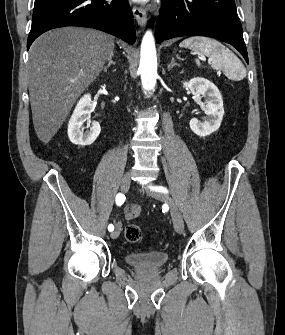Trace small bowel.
Masks as SVG:
<instances>
[{
  "instance_id": "c3829d8e",
  "label": "small bowel",
  "mask_w": 285,
  "mask_h": 335,
  "mask_svg": "<svg viewBox=\"0 0 285 335\" xmlns=\"http://www.w3.org/2000/svg\"><path fill=\"white\" fill-rule=\"evenodd\" d=\"M140 214V207L137 204H131L129 208L125 211V218L132 220L137 218Z\"/></svg>"
}]
</instances>
